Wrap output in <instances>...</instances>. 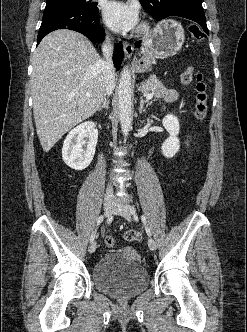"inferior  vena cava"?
<instances>
[{
	"instance_id": "1",
	"label": "inferior vena cava",
	"mask_w": 247,
	"mask_h": 332,
	"mask_svg": "<svg viewBox=\"0 0 247 332\" xmlns=\"http://www.w3.org/2000/svg\"><path fill=\"white\" fill-rule=\"evenodd\" d=\"M102 52L105 59L102 62L103 67V76L106 80V95H111L114 87H115V73H114V65L112 62V53H113V45L109 38H106L103 46ZM113 188L111 184L108 185L106 190L105 198H113Z\"/></svg>"
}]
</instances>
